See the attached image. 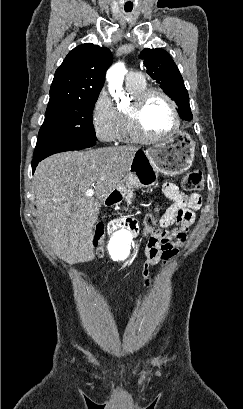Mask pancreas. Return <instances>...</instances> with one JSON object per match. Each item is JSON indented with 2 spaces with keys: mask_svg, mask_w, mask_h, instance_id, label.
<instances>
[{
  "mask_svg": "<svg viewBox=\"0 0 243 409\" xmlns=\"http://www.w3.org/2000/svg\"><path fill=\"white\" fill-rule=\"evenodd\" d=\"M132 198H133V191L131 190L128 192V194L125 197L128 204H131Z\"/></svg>",
  "mask_w": 243,
  "mask_h": 409,
  "instance_id": "cf45deb5",
  "label": "pancreas"
}]
</instances>
